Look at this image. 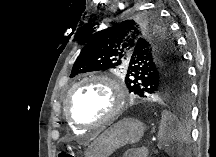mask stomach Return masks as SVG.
<instances>
[{"mask_svg": "<svg viewBox=\"0 0 216 157\" xmlns=\"http://www.w3.org/2000/svg\"><path fill=\"white\" fill-rule=\"evenodd\" d=\"M144 129V125L136 119H123L104 130L91 143L85 157H109L117 149L139 141Z\"/></svg>", "mask_w": 216, "mask_h": 157, "instance_id": "obj_1", "label": "stomach"}]
</instances>
